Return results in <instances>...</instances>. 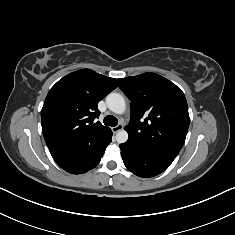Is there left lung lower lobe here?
I'll list each match as a JSON object with an SVG mask.
<instances>
[{
	"label": "left lung lower lobe",
	"instance_id": "obj_1",
	"mask_svg": "<svg viewBox=\"0 0 235 235\" xmlns=\"http://www.w3.org/2000/svg\"><path fill=\"white\" fill-rule=\"evenodd\" d=\"M123 162L128 170L140 177H153L166 170L175 158L141 146L130 140L120 145Z\"/></svg>",
	"mask_w": 235,
	"mask_h": 235
}]
</instances>
